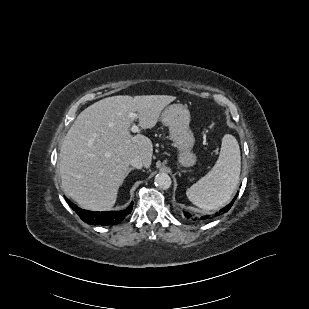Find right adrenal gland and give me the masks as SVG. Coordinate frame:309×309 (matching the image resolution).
I'll list each match as a JSON object with an SVG mask.
<instances>
[{
  "label": "right adrenal gland",
  "instance_id": "2a0ac1e0",
  "mask_svg": "<svg viewBox=\"0 0 309 309\" xmlns=\"http://www.w3.org/2000/svg\"><path fill=\"white\" fill-rule=\"evenodd\" d=\"M134 168H130L129 171L133 170Z\"/></svg>",
  "mask_w": 309,
  "mask_h": 309
}]
</instances>
